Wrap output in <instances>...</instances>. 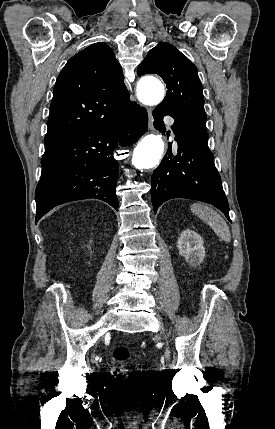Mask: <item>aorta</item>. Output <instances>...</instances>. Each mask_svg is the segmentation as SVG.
I'll use <instances>...</instances> for the list:
<instances>
[{"label": "aorta", "mask_w": 275, "mask_h": 429, "mask_svg": "<svg viewBox=\"0 0 275 429\" xmlns=\"http://www.w3.org/2000/svg\"><path fill=\"white\" fill-rule=\"evenodd\" d=\"M139 100L146 105L159 104L165 95L163 84L156 78L147 77L138 83ZM164 152V142L160 134H149L143 137L133 153V163L138 169L156 166Z\"/></svg>", "instance_id": "1"}]
</instances>
